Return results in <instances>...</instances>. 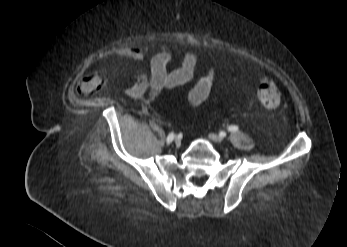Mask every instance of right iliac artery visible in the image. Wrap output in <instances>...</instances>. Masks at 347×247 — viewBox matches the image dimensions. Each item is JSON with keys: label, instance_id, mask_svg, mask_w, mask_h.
I'll use <instances>...</instances> for the list:
<instances>
[{"label": "right iliac artery", "instance_id": "1", "mask_svg": "<svg viewBox=\"0 0 347 247\" xmlns=\"http://www.w3.org/2000/svg\"><path fill=\"white\" fill-rule=\"evenodd\" d=\"M173 138H174V133L171 132V133L168 135L167 139H166L167 143H171L172 140H173Z\"/></svg>", "mask_w": 347, "mask_h": 247}]
</instances>
